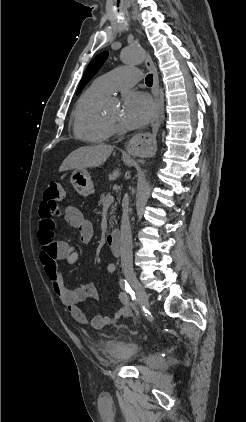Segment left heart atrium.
<instances>
[{
  "mask_svg": "<svg viewBox=\"0 0 246 422\" xmlns=\"http://www.w3.org/2000/svg\"><path fill=\"white\" fill-rule=\"evenodd\" d=\"M154 106L148 95L141 92H128L123 98L120 123L135 129L144 126L152 118Z\"/></svg>",
  "mask_w": 246,
  "mask_h": 422,
  "instance_id": "left-heart-atrium-1",
  "label": "left heart atrium"
}]
</instances>
